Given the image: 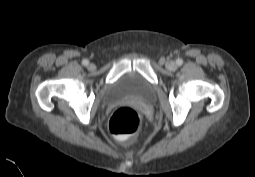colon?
Returning a JSON list of instances; mask_svg holds the SVG:
<instances>
[{
    "label": "colon",
    "instance_id": "1",
    "mask_svg": "<svg viewBox=\"0 0 255 177\" xmlns=\"http://www.w3.org/2000/svg\"><path fill=\"white\" fill-rule=\"evenodd\" d=\"M109 131L119 139H127L136 134L141 127V117L130 107H121L111 116Z\"/></svg>",
    "mask_w": 255,
    "mask_h": 177
}]
</instances>
